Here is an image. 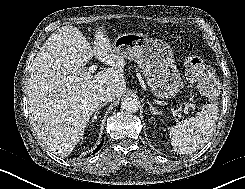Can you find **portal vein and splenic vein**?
I'll list each match as a JSON object with an SVG mask.
<instances>
[{
  "label": "portal vein and splenic vein",
  "instance_id": "portal-vein-and-splenic-vein-1",
  "mask_svg": "<svg viewBox=\"0 0 245 189\" xmlns=\"http://www.w3.org/2000/svg\"><path fill=\"white\" fill-rule=\"evenodd\" d=\"M97 70V65H92L91 67H89L88 69V74L91 75L92 73H94ZM79 77H76V80H78Z\"/></svg>",
  "mask_w": 245,
  "mask_h": 189
}]
</instances>
